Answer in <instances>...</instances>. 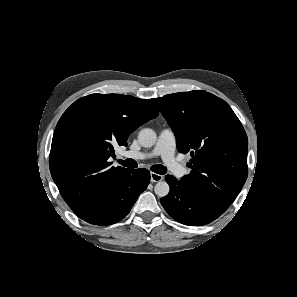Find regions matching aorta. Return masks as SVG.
I'll use <instances>...</instances> for the list:
<instances>
[{
	"label": "aorta",
	"instance_id": "762f6f07",
	"mask_svg": "<svg viewBox=\"0 0 297 297\" xmlns=\"http://www.w3.org/2000/svg\"><path fill=\"white\" fill-rule=\"evenodd\" d=\"M156 133L150 128H144L138 133V141L143 147H152L156 142ZM169 185L166 181H159L156 183L154 191L159 197H165L169 193Z\"/></svg>",
	"mask_w": 297,
	"mask_h": 297
}]
</instances>
